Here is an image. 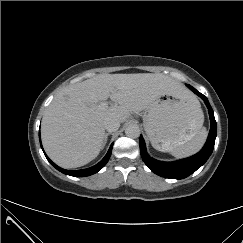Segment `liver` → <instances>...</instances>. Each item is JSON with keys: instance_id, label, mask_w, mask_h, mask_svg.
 Here are the masks:
<instances>
[{"instance_id": "liver-1", "label": "liver", "mask_w": 243, "mask_h": 243, "mask_svg": "<svg viewBox=\"0 0 243 243\" xmlns=\"http://www.w3.org/2000/svg\"><path fill=\"white\" fill-rule=\"evenodd\" d=\"M165 95L185 98L191 94L161 73L100 74L67 86L44 114L41 127L44 149L63 168L86 165L102 149L105 120L124 122L132 113L146 110ZM109 97L115 104L105 109L99 107Z\"/></svg>"}]
</instances>
